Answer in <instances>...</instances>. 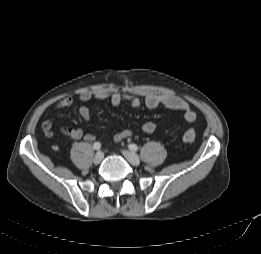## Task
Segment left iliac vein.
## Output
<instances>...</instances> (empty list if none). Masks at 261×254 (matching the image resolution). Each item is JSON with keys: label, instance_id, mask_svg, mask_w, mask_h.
Returning a JSON list of instances; mask_svg holds the SVG:
<instances>
[{"label": "left iliac vein", "instance_id": "4c4485c4", "mask_svg": "<svg viewBox=\"0 0 261 254\" xmlns=\"http://www.w3.org/2000/svg\"><path fill=\"white\" fill-rule=\"evenodd\" d=\"M122 154H123V156L126 158V160H127L130 164H132V165H134V166L139 165L140 159H139V157H138L134 152L128 151V150H123V151H122Z\"/></svg>", "mask_w": 261, "mask_h": 254}]
</instances>
